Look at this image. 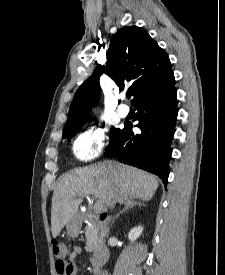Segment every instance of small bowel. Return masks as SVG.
<instances>
[{
    "label": "small bowel",
    "mask_w": 225,
    "mask_h": 275,
    "mask_svg": "<svg viewBox=\"0 0 225 275\" xmlns=\"http://www.w3.org/2000/svg\"><path fill=\"white\" fill-rule=\"evenodd\" d=\"M81 253H82V248L80 246L74 247V249L70 253L68 265H69L71 271L69 273H67V275H77L76 261H77L78 257L81 255Z\"/></svg>",
    "instance_id": "1"
}]
</instances>
